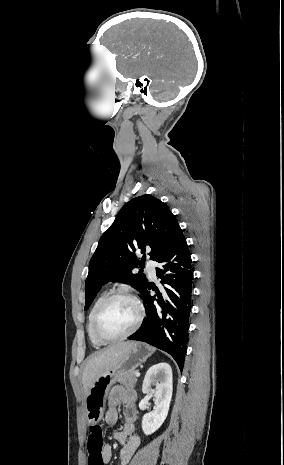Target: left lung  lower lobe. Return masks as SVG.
<instances>
[{
    "mask_svg": "<svg viewBox=\"0 0 284 465\" xmlns=\"http://www.w3.org/2000/svg\"><path fill=\"white\" fill-rule=\"evenodd\" d=\"M157 277L163 286L145 285L141 294L147 317L141 328L129 337L169 353L183 368L189 341V317L192 309L193 269L188 245L179 227L169 247L156 260ZM157 293L151 296L149 290Z\"/></svg>",
    "mask_w": 284,
    "mask_h": 465,
    "instance_id": "left-lung-lower-lobe-1",
    "label": "left lung lower lobe"
}]
</instances>
